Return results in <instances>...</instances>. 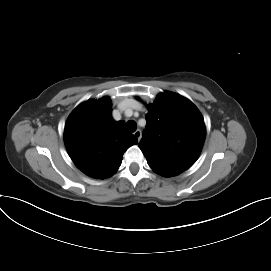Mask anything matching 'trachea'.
<instances>
[{
  "label": "trachea",
  "instance_id": "1",
  "mask_svg": "<svg viewBox=\"0 0 271 271\" xmlns=\"http://www.w3.org/2000/svg\"><path fill=\"white\" fill-rule=\"evenodd\" d=\"M136 122L133 121V120H129L127 123H126V129L129 131V132H134L136 130Z\"/></svg>",
  "mask_w": 271,
  "mask_h": 271
}]
</instances>
